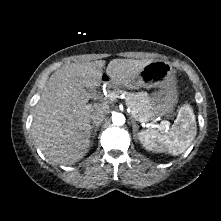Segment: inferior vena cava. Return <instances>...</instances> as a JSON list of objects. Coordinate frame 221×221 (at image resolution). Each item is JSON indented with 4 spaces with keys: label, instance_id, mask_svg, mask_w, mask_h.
<instances>
[{
    "label": "inferior vena cava",
    "instance_id": "1",
    "mask_svg": "<svg viewBox=\"0 0 221 221\" xmlns=\"http://www.w3.org/2000/svg\"><path fill=\"white\" fill-rule=\"evenodd\" d=\"M108 112V106L104 104L96 105L93 109L90 118L93 120V123L102 122L105 118L106 113Z\"/></svg>",
    "mask_w": 221,
    "mask_h": 221
}]
</instances>
